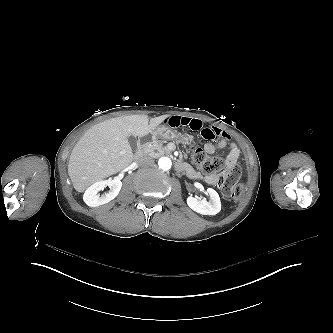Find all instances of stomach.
Segmentation results:
<instances>
[{"label": "stomach", "mask_w": 333, "mask_h": 333, "mask_svg": "<svg viewBox=\"0 0 333 333\" xmlns=\"http://www.w3.org/2000/svg\"><path fill=\"white\" fill-rule=\"evenodd\" d=\"M157 139H172L175 142L181 141L186 143L187 147H193L198 145V140L189 132L180 133L178 131L172 130L166 125H159L155 127L148 135H146V140L142 144L150 143Z\"/></svg>", "instance_id": "1"}]
</instances>
